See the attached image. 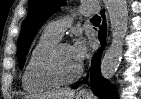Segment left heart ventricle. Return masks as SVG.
Wrapping results in <instances>:
<instances>
[{"label": "left heart ventricle", "instance_id": "left-heart-ventricle-1", "mask_svg": "<svg viewBox=\"0 0 141 99\" xmlns=\"http://www.w3.org/2000/svg\"><path fill=\"white\" fill-rule=\"evenodd\" d=\"M55 67L63 77H69L78 70L79 65L72 56L70 45H64L60 48L55 59Z\"/></svg>", "mask_w": 141, "mask_h": 99}]
</instances>
